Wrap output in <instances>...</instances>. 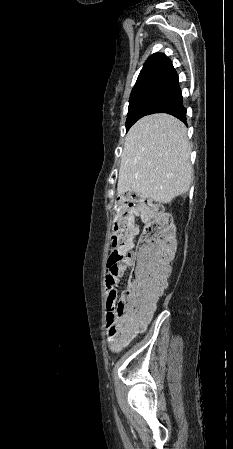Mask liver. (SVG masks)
<instances>
[{
    "mask_svg": "<svg viewBox=\"0 0 233 449\" xmlns=\"http://www.w3.org/2000/svg\"><path fill=\"white\" fill-rule=\"evenodd\" d=\"M185 125L157 113L137 121L125 137L118 194L133 192L167 204L188 192L193 180Z\"/></svg>",
    "mask_w": 233,
    "mask_h": 449,
    "instance_id": "6515ba94",
    "label": "liver"
}]
</instances>
